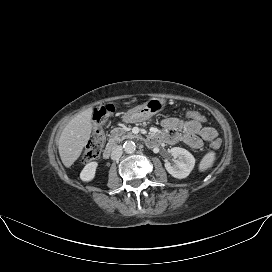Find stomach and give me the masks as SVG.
I'll return each mask as SVG.
<instances>
[{
	"label": "stomach",
	"instance_id": "1",
	"mask_svg": "<svg viewBox=\"0 0 272 272\" xmlns=\"http://www.w3.org/2000/svg\"><path fill=\"white\" fill-rule=\"evenodd\" d=\"M166 106V101L161 98L153 97L147 100L144 104L138 105L128 110L123 120L127 123H137L150 119Z\"/></svg>",
	"mask_w": 272,
	"mask_h": 272
}]
</instances>
